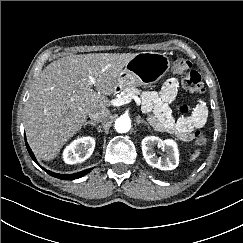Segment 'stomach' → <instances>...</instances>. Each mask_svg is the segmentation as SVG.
Returning <instances> with one entry per match:
<instances>
[{"instance_id": "obj_1", "label": "stomach", "mask_w": 243, "mask_h": 243, "mask_svg": "<svg viewBox=\"0 0 243 243\" xmlns=\"http://www.w3.org/2000/svg\"><path fill=\"white\" fill-rule=\"evenodd\" d=\"M170 67L165 53L140 52L135 54L118 76L121 88L127 86L151 85L162 78Z\"/></svg>"}]
</instances>
